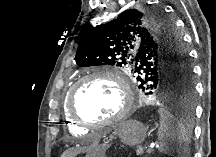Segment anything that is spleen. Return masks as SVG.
Here are the masks:
<instances>
[{
  "label": "spleen",
  "instance_id": "3e777b00",
  "mask_svg": "<svg viewBox=\"0 0 216 157\" xmlns=\"http://www.w3.org/2000/svg\"><path fill=\"white\" fill-rule=\"evenodd\" d=\"M158 113L160 126L157 135L160 152L169 156L186 157L190 142L187 125L164 108H160Z\"/></svg>",
  "mask_w": 216,
  "mask_h": 157
}]
</instances>
